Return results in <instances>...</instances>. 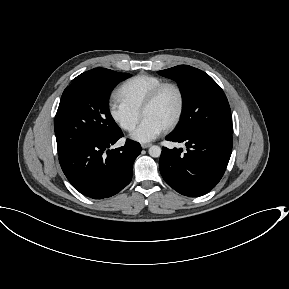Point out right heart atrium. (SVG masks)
<instances>
[{
  "label": "right heart atrium",
  "instance_id": "obj_1",
  "mask_svg": "<svg viewBox=\"0 0 289 289\" xmlns=\"http://www.w3.org/2000/svg\"><path fill=\"white\" fill-rule=\"evenodd\" d=\"M108 112L112 120L123 130L132 131L138 124L141 114L118 99H111L108 103Z\"/></svg>",
  "mask_w": 289,
  "mask_h": 289
}]
</instances>
